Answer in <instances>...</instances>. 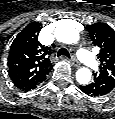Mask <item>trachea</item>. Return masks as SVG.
I'll return each instance as SVG.
<instances>
[{
	"instance_id": "obj_1",
	"label": "trachea",
	"mask_w": 115,
	"mask_h": 119,
	"mask_svg": "<svg viewBox=\"0 0 115 119\" xmlns=\"http://www.w3.org/2000/svg\"><path fill=\"white\" fill-rule=\"evenodd\" d=\"M57 56H66L68 58H70V54L68 52V50L66 48H60L57 52Z\"/></svg>"
}]
</instances>
